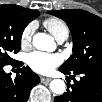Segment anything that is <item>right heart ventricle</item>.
<instances>
[{
	"label": "right heart ventricle",
	"instance_id": "1",
	"mask_svg": "<svg viewBox=\"0 0 102 102\" xmlns=\"http://www.w3.org/2000/svg\"><path fill=\"white\" fill-rule=\"evenodd\" d=\"M46 29L58 41L60 38H68L70 30L65 21L58 17H49L43 22Z\"/></svg>",
	"mask_w": 102,
	"mask_h": 102
}]
</instances>
